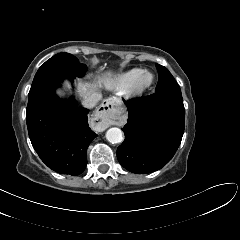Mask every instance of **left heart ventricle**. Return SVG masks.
Here are the masks:
<instances>
[{"label": "left heart ventricle", "mask_w": 240, "mask_h": 240, "mask_svg": "<svg viewBox=\"0 0 240 240\" xmlns=\"http://www.w3.org/2000/svg\"><path fill=\"white\" fill-rule=\"evenodd\" d=\"M149 80H150V77L147 76V77H145L144 82L147 83Z\"/></svg>", "instance_id": "left-heart-ventricle-1"}]
</instances>
